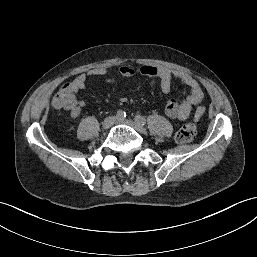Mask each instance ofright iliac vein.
<instances>
[{
	"instance_id": "63e3f726",
	"label": "right iliac vein",
	"mask_w": 257,
	"mask_h": 257,
	"mask_svg": "<svg viewBox=\"0 0 257 257\" xmlns=\"http://www.w3.org/2000/svg\"><path fill=\"white\" fill-rule=\"evenodd\" d=\"M115 120V117H107L102 123V128L105 130L109 129L114 124Z\"/></svg>"
}]
</instances>
